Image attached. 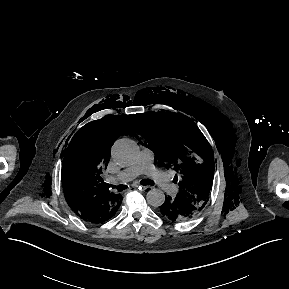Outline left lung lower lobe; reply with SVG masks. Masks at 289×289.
<instances>
[{
	"mask_svg": "<svg viewBox=\"0 0 289 289\" xmlns=\"http://www.w3.org/2000/svg\"><path fill=\"white\" fill-rule=\"evenodd\" d=\"M201 209L192 204L188 199L177 194L176 197H165V202L160 206V212L172 222L186 221L196 216Z\"/></svg>",
	"mask_w": 289,
	"mask_h": 289,
	"instance_id": "obj_1",
	"label": "left lung lower lobe"
}]
</instances>
